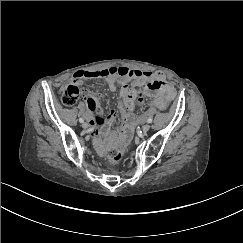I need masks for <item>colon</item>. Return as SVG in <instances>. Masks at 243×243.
<instances>
[{
    "instance_id": "colon-1",
    "label": "colon",
    "mask_w": 243,
    "mask_h": 243,
    "mask_svg": "<svg viewBox=\"0 0 243 243\" xmlns=\"http://www.w3.org/2000/svg\"><path fill=\"white\" fill-rule=\"evenodd\" d=\"M80 93L76 85H68L61 92V101L66 106H72L78 101ZM137 96V89L131 85L124 86L121 91L120 109L122 112V125L113 131L106 150L107 158L112 164H118L123 159V149L132 134Z\"/></svg>"
}]
</instances>
